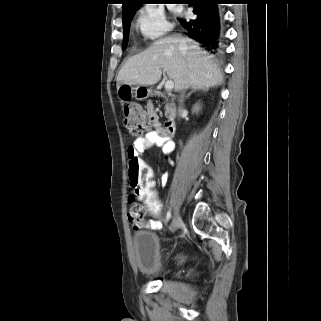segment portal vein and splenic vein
Here are the masks:
<instances>
[{"label":"portal vein and splenic vein","mask_w":321,"mask_h":321,"mask_svg":"<svg viewBox=\"0 0 321 321\" xmlns=\"http://www.w3.org/2000/svg\"><path fill=\"white\" fill-rule=\"evenodd\" d=\"M174 87V82L172 80H167L165 83V89L166 90H172Z\"/></svg>","instance_id":"portal-vein-and-splenic-vein-1"}]
</instances>
